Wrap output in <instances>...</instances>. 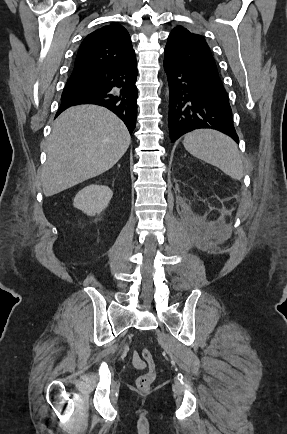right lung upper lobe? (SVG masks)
I'll list each match as a JSON object with an SVG mask.
<instances>
[{"label": "right lung upper lobe", "mask_w": 287, "mask_h": 434, "mask_svg": "<svg viewBox=\"0 0 287 434\" xmlns=\"http://www.w3.org/2000/svg\"><path fill=\"white\" fill-rule=\"evenodd\" d=\"M128 31L118 23H111L90 33L81 43L73 72L135 59Z\"/></svg>", "instance_id": "right-lung-upper-lobe-1"}]
</instances>
